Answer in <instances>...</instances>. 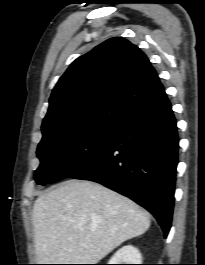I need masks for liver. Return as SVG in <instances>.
Instances as JSON below:
<instances>
[{"instance_id": "6515ba94", "label": "liver", "mask_w": 205, "mask_h": 265, "mask_svg": "<svg viewBox=\"0 0 205 265\" xmlns=\"http://www.w3.org/2000/svg\"><path fill=\"white\" fill-rule=\"evenodd\" d=\"M33 226L40 264H97L124 241L144 234L150 216L100 184L67 180L36 199Z\"/></svg>"}]
</instances>
